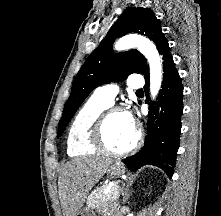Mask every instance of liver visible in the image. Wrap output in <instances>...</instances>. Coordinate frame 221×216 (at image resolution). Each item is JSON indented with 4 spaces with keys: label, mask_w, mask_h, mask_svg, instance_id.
Segmentation results:
<instances>
[{
    "label": "liver",
    "mask_w": 221,
    "mask_h": 216,
    "mask_svg": "<svg viewBox=\"0 0 221 216\" xmlns=\"http://www.w3.org/2000/svg\"><path fill=\"white\" fill-rule=\"evenodd\" d=\"M112 163L110 158L80 157L65 164L58 182L64 216L78 215L89 191Z\"/></svg>",
    "instance_id": "6515ba94"
}]
</instances>
